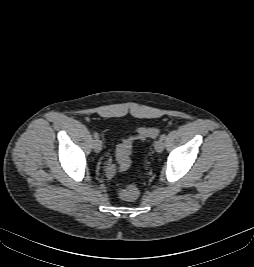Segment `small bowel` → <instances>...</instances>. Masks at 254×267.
I'll return each mask as SVG.
<instances>
[{
  "instance_id": "1",
  "label": "small bowel",
  "mask_w": 254,
  "mask_h": 267,
  "mask_svg": "<svg viewBox=\"0 0 254 267\" xmlns=\"http://www.w3.org/2000/svg\"><path fill=\"white\" fill-rule=\"evenodd\" d=\"M107 175H108L109 177H111V176L114 175V168H113V167L109 166V167L107 168Z\"/></svg>"
}]
</instances>
